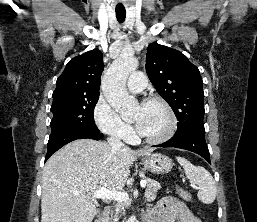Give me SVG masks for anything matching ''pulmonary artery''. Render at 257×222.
<instances>
[{
  "label": "pulmonary artery",
  "mask_w": 257,
  "mask_h": 222,
  "mask_svg": "<svg viewBox=\"0 0 257 222\" xmlns=\"http://www.w3.org/2000/svg\"><path fill=\"white\" fill-rule=\"evenodd\" d=\"M147 84V78L143 72H135L133 73L128 81L127 87L131 92H141Z\"/></svg>",
  "instance_id": "pulmonary-artery-1"
}]
</instances>
